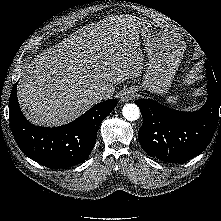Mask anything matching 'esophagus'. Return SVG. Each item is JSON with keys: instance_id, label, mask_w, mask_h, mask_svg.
<instances>
[{"instance_id": "1", "label": "esophagus", "mask_w": 221, "mask_h": 221, "mask_svg": "<svg viewBox=\"0 0 221 221\" xmlns=\"http://www.w3.org/2000/svg\"><path fill=\"white\" fill-rule=\"evenodd\" d=\"M135 95H136L135 90H133V89H126L121 94V101L128 102L131 99H133L135 97Z\"/></svg>"}]
</instances>
